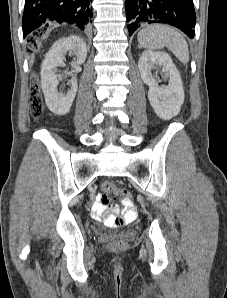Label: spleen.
<instances>
[{
  "instance_id": "spleen-1",
  "label": "spleen",
  "mask_w": 227,
  "mask_h": 298,
  "mask_svg": "<svg viewBox=\"0 0 227 298\" xmlns=\"http://www.w3.org/2000/svg\"><path fill=\"white\" fill-rule=\"evenodd\" d=\"M137 39L140 47L158 50L167 47L182 63L189 61L187 41L168 25L153 24L140 30Z\"/></svg>"
}]
</instances>
